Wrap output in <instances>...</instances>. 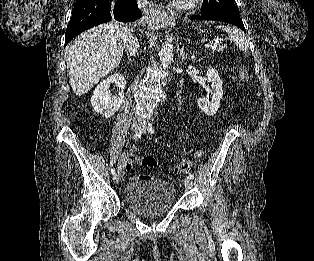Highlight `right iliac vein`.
<instances>
[{
  "instance_id": "1",
  "label": "right iliac vein",
  "mask_w": 314,
  "mask_h": 261,
  "mask_svg": "<svg viewBox=\"0 0 314 261\" xmlns=\"http://www.w3.org/2000/svg\"><path fill=\"white\" fill-rule=\"evenodd\" d=\"M140 127H141V124H140L138 121H133V122L131 123V129H132L133 131H138V130L140 129ZM120 180H121L120 174H119V173L114 174V176H113V181H114L116 184H118V183L120 182Z\"/></svg>"
}]
</instances>
